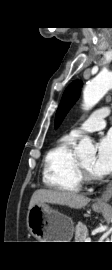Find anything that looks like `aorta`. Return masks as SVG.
I'll return each mask as SVG.
<instances>
[{"label": "aorta", "mask_w": 112, "mask_h": 270, "mask_svg": "<svg viewBox=\"0 0 112 270\" xmlns=\"http://www.w3.org/2000/svg\"><path fill=\"white\" fill-rule=\"evenodd\" d=\"M110 89H112V72H104L97 75L87 83L83 91V108L85 110L91 109ZM74 152L79 158H86L94 156L96 150L91 139L86 136L80 140Z\"/></svg>", "instance_id": "aorta-1"}]
</instances>
